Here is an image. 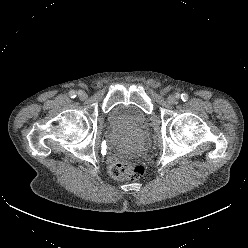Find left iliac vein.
<instances>
[{
	"label": "left iliac vein",
	"instance_id": "obj_1",
	"mask_svg": "<svg viewBox=\"0 0 248 248\" xmlns=\"http://www.w3.org/2000/svg\"><path fill=\"white\" fill-rule=\"evenodd\" d=\"M176 100H177V96H175V95H169L168 98H167V101H168V103H170V104L175 103Z\"/></svg>",
	"mask_w": 248,
	"mask_h": 248
}]
</instances>
